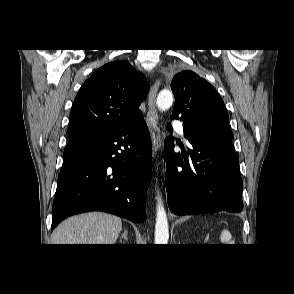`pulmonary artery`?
I'll list each match as a JSON object with an SVG mask.
<instances>
[{"label":"pulmonary artery","mask_w":294,"mask_h":294,"mask_svg":"<svg viewBox=\"0 0 294 294\" xmlns=\"http://www.w3.org/2000/svg\"><path fill=\"white\" fill-rule=\"evenodd\" d=\"M173 128H174V130H176L178 133L183 134L184 127H183V125H182L181 122H179V121H175V122L173 123ZM186 141H187V140H186Z\"/></svg>","instance_id":"e3ab8cb5"}]
</instances>
